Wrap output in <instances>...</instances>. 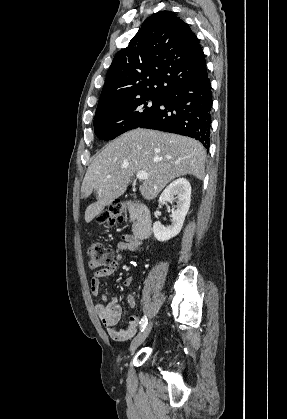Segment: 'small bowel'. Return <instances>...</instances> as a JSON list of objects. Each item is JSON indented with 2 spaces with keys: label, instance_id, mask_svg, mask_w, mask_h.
Instances as JSON below:
<instances>
[{
  "label": "small bowel",
  "instance_id": "c3829d8e",
  "mask_svg": "<svg viewBox=\"0 0 287 419\" xmlns=\"http://www.w3.org/2000/svg\"><path fill=\"white\" fill-rule=\"evenodd\" d=\"M141 246V242L133 235L126 234L122 240L118 242L113 260L100 271L93 274L91 277L90 289L93 295L97 296L100 293V283L104 277L111 275L118 265L120 264L123 254L125 252H136ZM132 277H127L123 281L124 286H130L132 284ZM103 302L96 303L94 308L95 311L107 330L108 335L117 341H126L130 339L137 330L139 323V317L136 314H132L128 318L126 327L118 329L116 324L120 321L122 315V308L117 303L116 299L108 300L106 295H102ZM127 303L130 307H134L136 304V298L134 295L127 296Z\"/></svg>",
  "mask_w": 287,
  "mask_h": 419
}]
</instances>
